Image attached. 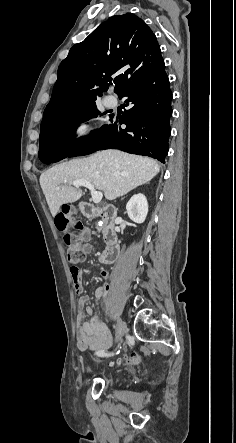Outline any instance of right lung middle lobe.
I'll use <instances>...</instances> for the list:
<instances>
[{
    "mask_svg": "<svg viewBox=\"0 0 236 443\" xmlns=\"http://www.w3.org/2000/svg\"><path fill=\"white\" fill-rule=\"evenodd\" d=\"M95 101L44 119L40 125V147L53 145H71L77 140L75 131L78 125L99 115ZM105 114V113H104Z\"/></svg>",
    "mask_w": 236,
    "mask_h": 443,
    "instance_id": "right-lung-middle-lobe-1",
    "label": "right lung middle lobe"
}]
</instances>
